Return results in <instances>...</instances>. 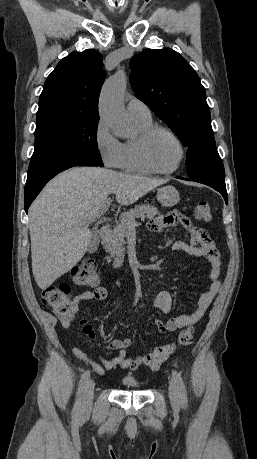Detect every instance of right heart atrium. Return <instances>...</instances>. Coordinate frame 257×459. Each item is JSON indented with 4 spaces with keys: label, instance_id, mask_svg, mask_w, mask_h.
Wrapping results in <instances>:
<instances>
[{
    "label": "right heart atrium",
    "instance_id": "1",
    "mask_svg": "<svg viewBox=\"0 0 257 459\" xmlns=\"http://www.w3.org/2000/svg\"><path fill=\"white\" fill-rule=\"evenodd\" d=\"M95 146L107 167H118L122 154V143L112 134L107 123L100 119L94 132Z\"/></svg>",
    "mask_w": 257,
    "mask_h": 459
}]
</instances>
